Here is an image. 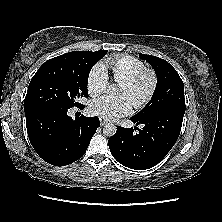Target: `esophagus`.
<instances>
[{
	"instance_id": "34e87169",
	"label": "esophagus",
	"mask_w": 222,
	"mask_h": 222,
	"mask_svg": "<svg viewBox=\"0 0 222 222\" xmlns=\"http://www.w3.org/2000/svg\"><path fill=\"white\" fill-rule=\"evenodd\" d=\"M107 122L105 120H101V125H105Z\"/></svg>"
}]
</instances>
